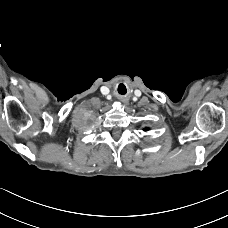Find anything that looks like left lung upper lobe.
Wrapping results in <instances>:
<instances>
[{
    "mask_svg": "<svg viewBox=\"0 0 228 228\" xmlns=\"http://www.w3.org/2000/svg\"><path fill=\"white\" fill-rule=\"evenodd\" d=\"M147 130H148V128H145V129H144V131H147Z\"/></svg>",
    "mask_w": 228,
    "mask_h": 228,
    "instance_id": "5c2ea615",
    "label": "left lung upper lobe"
}]
</instances>
